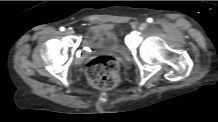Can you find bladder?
Here are the masks:
<instances>
[{
  "mask_svg": "<svg viewBox=\"0 0 218 122\" xmlns=\"http://www.w3.org/2000/svg\"><path fill=\"white\" fill-rule=\"evenodd\" d=\"M83 44L93 50L126 54V47L119 35L106 24L90 28L86 33Z\"/></svg>",
  "mask_w": 218,
  "mask_h": 122,
  "instance_id": "obj_1",
  "label": "bladder"
}]
</instances>
